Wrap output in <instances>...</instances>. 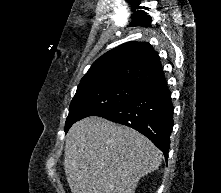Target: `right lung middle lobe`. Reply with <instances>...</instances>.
I'll list each match as a JSON object with an SVG mask.
<instances>
[{
	"instance_id": "1",
	"label": "right lung middle lobe",
	"mask_w": 221,
	"mask_h": 193,
	"mask_svg": "<svg viewBox=\"0 0 221 193\" xmlns=\"http://www.w3.org/2000/svg\"><path fill=\"white\" fill-rule=\"evenodd\" d=\"M141 88L142 85L119 82L77 90L70 104L65 132L85 117L98 115L127 102Z\"/></svg>"
}]
</instances>
